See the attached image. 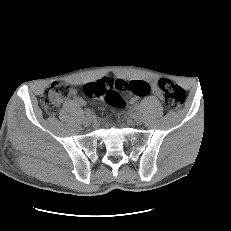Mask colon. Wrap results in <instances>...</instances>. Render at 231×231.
I'll use <instances>...</instances> for the list:
<instances>
[{"mask_svg":"<svg viewBox=\"0 0 231 231\" xmlns=\"http://www.w3.org/2000/svg\"><path fill=\"white\" fill-rule=\"evenodd\" d=\"M157 85L163 92L164 101L169 108L176 110L184 104L186 95L180 86L166 78H160ZM149 91V84L142 80L126 82L120 79L103 78L84 86L86 96L103 98L107 104L116 108L124 105L122 93L130 92L136 96H146ZM72 93L73 90L70 85L62 82L52 83L41 97V104L45 112L50 116L55 115L60 104Z\"/></svg>","mask_w":231,"mask_h":231,"instance_id":"obj_1","label":"colon"}]
</instances>
